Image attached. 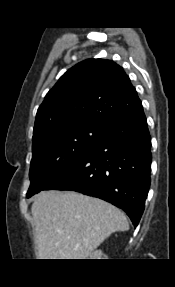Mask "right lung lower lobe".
I'll list each match as a JSON object with an SVG mask.
<instances>
[{
    "label": "right lung lower lobe",
    "mask_w": 175,
    "mask_h": 287,
    "mask_svg": "<svg viewBox=\"0 0 175 287\" xmlns=\"http://www.w3.org/2000/svg\"><path fill=\"white\" fill-rule=\"evenodd\" d=\"M151 137L143 107L107 133L42 190H73L121 208L137 226L150 187Z\"/></svg>",
    "instance_id": "98d812e1"
}]
</instances>
